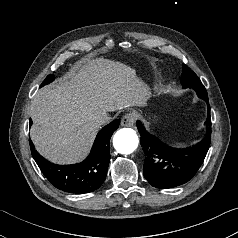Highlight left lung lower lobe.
Segmentation results:
<instances>
[{"label": "left lung lower lobe", "instance_id": "1", "mask_svg": "<svg viewBox=\"0 0 238 238\" xmlns=\"http://www.w3.org/2000/svg\"><path fill=\"white\" fill-rule=\"evenodd\" d=\"M207 134L199 143L187 148H174L148 133L141 121L137 128L146 155L143 172L156 188H172L188 182L202 165L211 142V119L208 101Z\"/></svg>", "mask_w": 238, "mask_h": 238}]
</instances>
